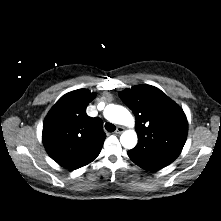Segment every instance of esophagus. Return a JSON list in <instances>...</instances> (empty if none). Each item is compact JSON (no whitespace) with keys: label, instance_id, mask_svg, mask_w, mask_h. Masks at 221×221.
Segmentation results:
<instances>
[{"label":"esophagus","instance_id":"obj_1","mask_svg":"<svg viewBox=\"0 0 221 221\" xmlns=\"http://www.w3.org/2000/svg\"><path fill=\"white\" fill-rule=\"evenodd\" d=\"M123 131H124V127L118 126L116 131H115V134H121Z\"/></svg>","mask_w":221,"mask_h":221}]
</instances>
